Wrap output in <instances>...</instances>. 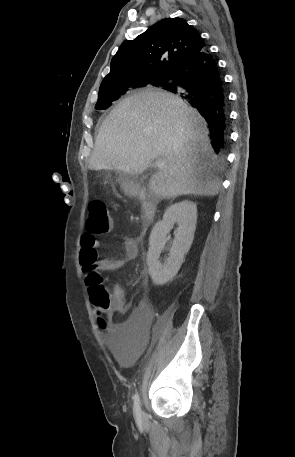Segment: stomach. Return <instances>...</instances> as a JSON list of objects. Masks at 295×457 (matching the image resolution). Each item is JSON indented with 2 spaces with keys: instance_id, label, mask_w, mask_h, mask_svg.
<instances>
[{
  "instance_id": "1",
  "label": "stomach",
  "mask_w": 295,
  "mask_h": 457,
  "mask_svg": "<svg viewBox=\"0 0 295 457\" xmlns=\"http://www.w3.org/2000/svg\"><path fill=\"white\" fill-rule=\"evenodd\" d=\"M121 186L126 192H130L133 189L132 183H130L126 179L121 180Z\"/></svg>"
}]
</instances>
